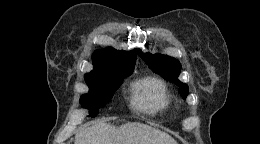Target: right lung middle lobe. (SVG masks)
I'll use <instances>...</instances> for the list:
<instances>
[{"mask_svg": "<svg viewBox=\"0 0 260 144\" xmlns=\"http://www.w3.org/2000/svg\"><path fill=\"white\" fill-rule=\"evenodd\" d=\"M133 71L108 74L103 76H85L90 90L80 98L82 107L90 109L91 117H95L99 108L103 107L112 98L114 91L121 85L123 78L131 75Z\"/></svg>", "mask_w": 260, "mask_h": 144, "instance_id": "obj_1", "label": "right lung middle lobe"}]
</instances>
